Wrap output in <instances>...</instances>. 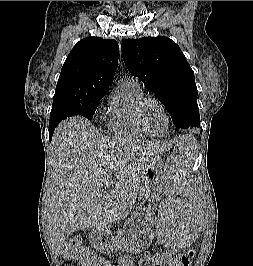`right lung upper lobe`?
I'll return each mask as SVG.
<instances>
[{
	"mask_svg": "<svg viewBox=\"0 0 253 266\" xmlns=\"http://www.w3.org/2000/svg\"><path fill=\"white\" fill-rule=\"evenodd\" d=\"M118 54L115 40L87 37L79 41L63 64L54 100L106 92L114 78Z\"/></svg>",
	"mask_w": 253,
	"mask_h": 266,
	"instance_id": "1",
	"label": "right lung upper lobe"
}]
</instances>
